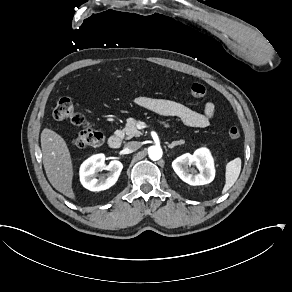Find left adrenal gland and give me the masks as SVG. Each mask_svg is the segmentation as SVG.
Listing matches in <instances>:
<instances>
[{"label": "left adrenal gland", "instance_id": "a2214340", "mask_svg": "<svg viewBox=\"0 0 292 292\" xmlns=\"http://www.w3.org/2000/svg\"><path fill=\"white\" fill-rule=\"evenodd\" d=\"M166 144H168V148L173 149L176 146L184 145L185 142L184 141H177V142H172L171 144L167 142Z\"/></svg>", "mask_w": 292, "mask_h": 292}]
</instances>
